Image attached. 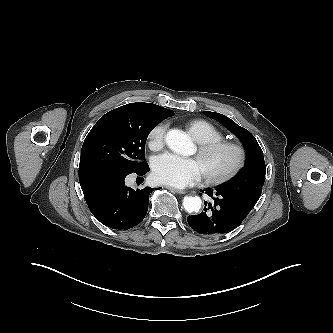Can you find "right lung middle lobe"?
Returning <instances> with one entry per match:
<instances>
[{"label":"right lung middle lobe","instance_id":"obj_1","mask_svg":"<svg viewBox=\"0 0 333 333\" xmlns=\"http://www.w3.org/2000/svg\"><path fill=\"white\" fill-rule=\"evenodd\" d=\"M168 116L142 108H116L88 133L81 149L79 170L112 167L138 171L147 163L145 143L150 131Z\"/></svg>","mask_w":333,"mask_h":333}]
</instances>
